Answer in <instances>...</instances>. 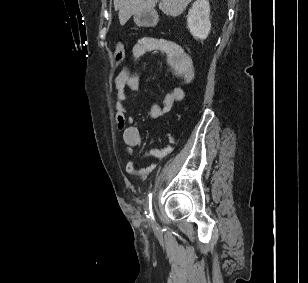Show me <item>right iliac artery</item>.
I'll return each mask as SVG.
<instances>
[{"instance_id": "obj_1", "label": "right iliac artery", "mask_w": 308, "mask_h": 283, "mask_svg": "<svg viewBox=\"0 0 308 283\" xmlns=\"http://www.w3.org/2000/svg\"><path fill=\"white\" fill-rule=\"evenodd\" d=\"M147 217L150 218L151 222L154 221L153 213H152V193L148 194V199L146 202V212Z\"/></svg>"}]
</instances>
